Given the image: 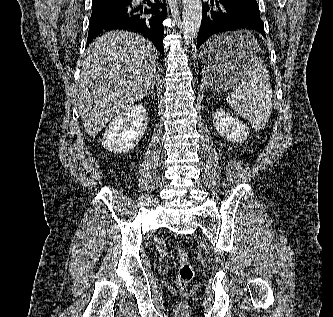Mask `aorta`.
Returning a JSON list of instances; mask_svg holds the SVG:
<instances>
[{
	"label": "aorta",
	"mask_w": 333,
	"mask_h": 317,
	"mask_svg": "<svg viewBox=\"0 0 333 317\" xmlns=\"http://www.w3.org/2000/svg\"><path fill=\"white\" fill-rule=\"evenodd\" d=\"M183 37L186 45L196 38L202 20L201 0H182Z\"/></svg>",
	"instance_id": "aorta-1"
}]
</instances>
